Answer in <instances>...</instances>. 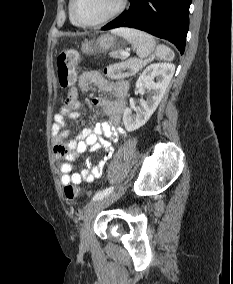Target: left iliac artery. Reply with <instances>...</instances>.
<instances>
[{
	"instance_id": "left-iliac-artery-1",
	"label": "left iliac artery",
	"mask_w": 233,
	"mask_h": 284,
	"mask_svg": "<svg viewBox=\"0 0 233 284\" xmlns=\"http://www.w3.org/2000/svg\"><path fill=\"white\" fill-rule=\"evenodd\" d=\"M114 187H108L102 191H99L97 192L94 197H93V200H99V199H102L108 195H110V193H112Z\"/></svg>"
}]
</instances>
